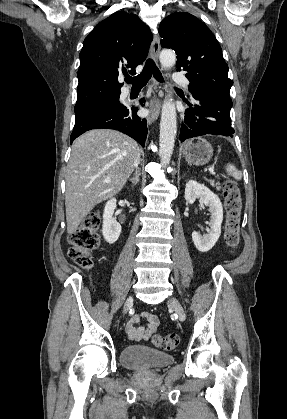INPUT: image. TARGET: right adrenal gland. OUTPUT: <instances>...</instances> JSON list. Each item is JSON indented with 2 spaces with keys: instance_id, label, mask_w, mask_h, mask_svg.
Here are the masks:
<instances>
[{
  "instance_id": "2a0ac1e0",
  "label": "right adrenal gland",
  "mask_w": 287,
  "mask_h": 419,
  "mask_svg": "<svg viewBox=\"0 0 287 419\" xmlns=\"http://www.w3.org/2000/svg\"><path fill=\"white\" fill-rule=\"evenodd\" d=\"M129 181L131 182L132 186H135L140 182V171L139 168L136 169L134 177L129 178Z\"/></svg>"
}]
</instances>
